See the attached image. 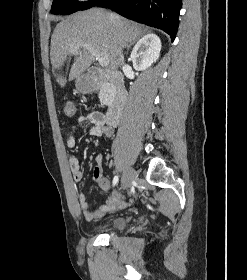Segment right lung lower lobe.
<instances>
[{"instance_id":"obj_1","label":"right lung lower lobe","mask_w":247,"mask_h":280,"mask_svg":"<svg viewBox=\"0 0 247 280\" xmlns=\"http://www.w3.org/2000/svg\"><path fill=\"white\" fill-rule=\"evenodd\" d=\"M95 6L109 7L117 13L164 30L174 41L179 25L181 0H101Z\"/></svg>"}]
</instances>
